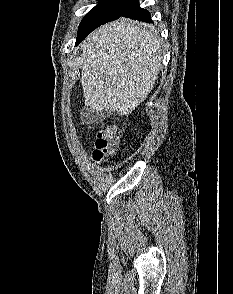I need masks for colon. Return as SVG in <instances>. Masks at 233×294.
Segmentation results:
<instances>
[{
	"label": "colon",
	"mask_w": 233,
	"mask_h": 294,
	"mask_svg": "<svg viewBox=\"0 0 233 294\" xmlns=\"http://www.w3.org/2000/svg\"><path fill=\"white\" fill-rule=\"evenodd\" d=\"M116 147V129L109 126L96 134L93 159L96 162L103 160L108 154L114 152Z\"/></svg>",
	"instance_id": "obj_1"
}]
</instances>
